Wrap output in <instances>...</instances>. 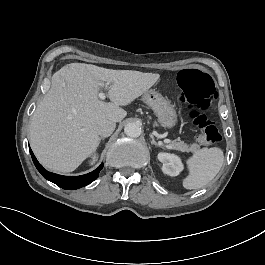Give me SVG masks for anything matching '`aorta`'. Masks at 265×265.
I'll use <instances>...</instances> for the list:
<instances>
[{"instance_id": "762f6f07", "label": "aorta", "mask_w": 265, "mask_h": 265, "mask_svg": "<svg viewBox=\"0 0 265 265\" xmlns=\"http://www.w3.org/2000/svg\"><path fill=\"white\" fill-rule=\"evenodd\" d=\"M124 132L129 137H139L141 135V127L135 122H131L125 125Z\"/></svg>"}]
</instances>
